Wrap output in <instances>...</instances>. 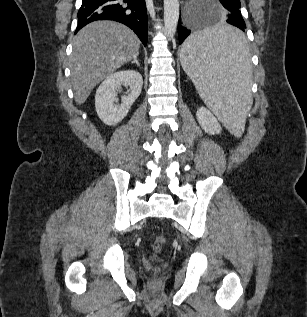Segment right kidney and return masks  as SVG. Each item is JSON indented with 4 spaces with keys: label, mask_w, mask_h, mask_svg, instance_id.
I'll list each match as a JSON object with an SVG mask.
<instances>
[{
    "label": "right kidney",
    "mask_w": 307,
    "mask_h": 317,
    "mask_svg": "<svg viewBox=\"0 0 307 317\" xmlns=\"http://www.w3.org/2000/svg\"><path fill=\"white\" fill-rule=\"evenodd\" d=\"M142 76L134 70L118 71L109 75L98 87L95 95V108L98 117L106 125H116L121 122L129 112L132 104L141 93ZM121 85L130 87V94L121 97V104L116 99L117 90Z\"/></svg>",
    "instance_id": "obj_1"
}]
</instances>
